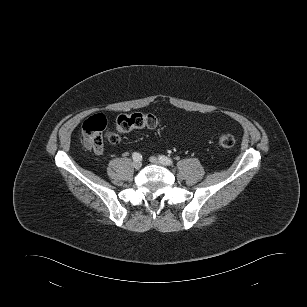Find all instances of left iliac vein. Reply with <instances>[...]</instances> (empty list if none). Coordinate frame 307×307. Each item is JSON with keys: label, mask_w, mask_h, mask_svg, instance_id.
<instances>
[{"label": "left iliac vein", "mask_w": 307, "mask_h": 307, "mask_svg": "<svg viewBox=\"0 0 307 307\" xmlns=\"http://www.w3.org/2000/svg\"><path fill=\"white\" fill-rule=\"evenodd\" d=\"M150 162L153 164H163L159 159H157L156 157H150ZM165 165V164H163Z\"/></svg>", "instance_id": "4c4485c4"}]
</instances>
